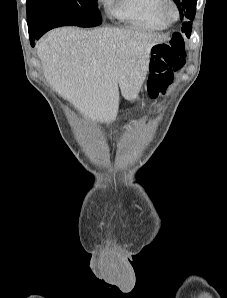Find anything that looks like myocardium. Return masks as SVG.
<instances>
[{"label": "myocardium", "mask_w": 227, "mask_h": 298, "mask_svg": "<svg viewBox=\"0 0 227 298\" xmlns=\"http://www.w3.org/2000/svg\"><path fill=\"white\" fill-rule=\"evenodd\" d=\"M169 8L172 12H169ZM158 15L168 24L175 23L180 17V8L175 0H159L157 5Z\"/></svg>", "instance_id": "myocardium-1"}]
</instances>
